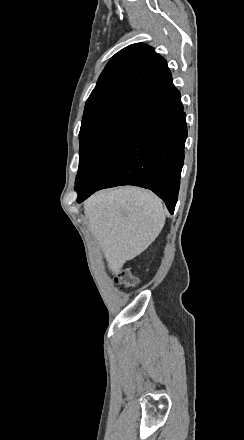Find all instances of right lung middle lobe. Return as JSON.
<instances>
[{"mask_svg": "<svg viewBox=\"0 0 244 440\" xmlns=\"http://www.w3.org/2000/svg\"><path fill=\"white\" fill-rule=\"evenodd\" d=\"M139 99L121 95L109 100L86 103L79 133L80 154L76 183L108 134Z\"/></svg>", "mask_w": 244, "mask_h": 440, "instance_id": "1", "label": "right lung middle lobe"}]
</instances>
